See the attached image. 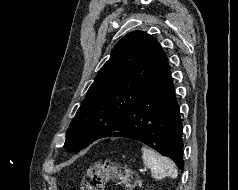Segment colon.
<instances>
[{"label":"colon","instance_id":"1","mask_svg":"<svg viewBox=\"0 0 238 190\" xmlns=\"http://www.w3.org/2000/svg\"><path fill=\"white\" fill-rule=\"evenodd\" d=\"M109 180H114L127 190H132L137 185L138 175L128 166L102 160L88 169L81 190H103Z\"/></svg>","mask_w":238,"mask_h":190}]
</instances>
